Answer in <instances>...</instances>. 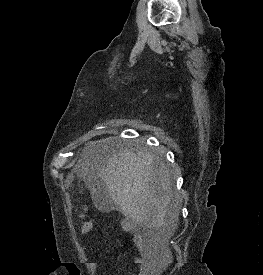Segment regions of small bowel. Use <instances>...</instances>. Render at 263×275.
<instances>
[{"label":"small bowel","instance_id":"obj_1","mask_svg":"<svg viewBox=\"0 0 263 275\" xmlns=\"http://www.w3.org/2000/svg\"><path fill=\"white\" fill-rule=\"evenodd\" d=\"M93 229L92 222H86L83 224L80 230V235L85 236ZM134 236V243L137 247V256L135 257V262L138 265V273L137 275H153L152 268L149 263V249L145 244L143 238L136 232L132 231ZM98 262L93 261L88 263V269L91 272H95L97 270Z\"/></svg>","mask_w":263,"mask_h":275}]
</instances>
